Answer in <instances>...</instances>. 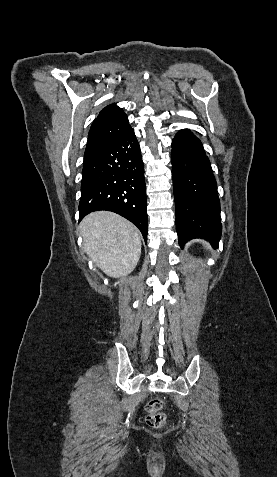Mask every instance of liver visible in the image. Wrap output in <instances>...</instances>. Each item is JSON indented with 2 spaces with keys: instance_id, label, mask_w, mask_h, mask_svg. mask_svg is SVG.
I'll list each match as a JSON object with an SVG mask.
<instances>
[{
  "instance_id": "liver-1",
  "label": "liver",
  "mask_w": 277,
  "mask_h": 477,
  "mask_svg": "<svg viewBox=\"0 0 277 477\" xmlns=\"http://www.w3.org/2000/svg\"><path fill=\"white\" fill-rule=\"evenodd\" d=\"M83 248L108 276H127L136 267L141 254L137 228L125 218L109 211L87 215L80 223Z\"/></svg>"
}]
</instances>
